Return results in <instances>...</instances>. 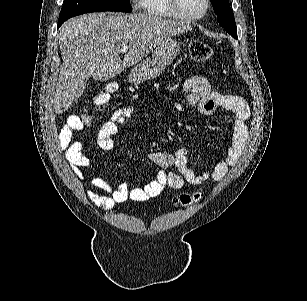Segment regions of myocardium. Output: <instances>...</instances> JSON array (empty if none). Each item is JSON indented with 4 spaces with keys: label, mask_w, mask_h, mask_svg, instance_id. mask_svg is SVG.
<instances>
[{
    "label": "myocardium",
    "mask_w": 307,
    "mask_h": 301,
    "mask_svg": "<svg viewBox=\"0 0 307 301\" xmlns=\"http://www.w3.org/2000/svg\"><path fill=\"white\" fill-rule=\"evenodd\" d=\"M178 1L182 0H169L168 11L171 12L172 17H176V22H200L201 17H205L207 13V0H202L201 9L195 8L193 10H177L179 5Z\"/></svg>",
    "instance_id": "myocardium-1"
}]
</instances>
